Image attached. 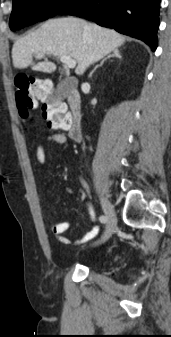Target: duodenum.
<instances>
[{
    "mask_svg": "<svg viewBox=\"0 0 171 337\" xmlns=\"http://www.w3.org/2000/svg\"><path fill=\"white\" fill-rule=\"evenodd\" d=\"M69 111V125L67 127L71 139L78 141L81 139L80 106L81 98L79 92L70 87L67 94Z\"/></svg>",
    "mask_w": 171,
    "mask_h": 337,
    "instance_id": "obj_1",
    "label": "duodenum"
}]
</instances>
